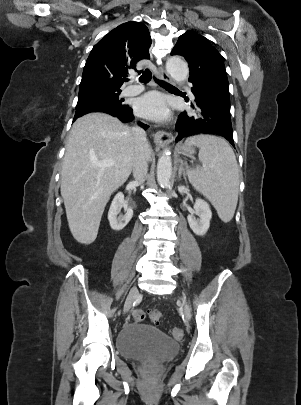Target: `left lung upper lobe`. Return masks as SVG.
Instances as JSON below:
<instances>
[{
    "label": "left lung upper lobe",
    "instance_id": "5c2ea615",
    "mask_svg": "<svg viewBox=\"0 0 301 405\" xmlns=\"http://www.w3.org/2000/svg\"><path fill=\"white\" fill-rule=\"evenodd\" d=\"M171 55L183 56L189 63V81L212 97L230 103L228 79L221 55L202 35L182 34Z\"/></svg>",
    "mask_w": 301,
    "mask_h": 405
}]
</instances>
